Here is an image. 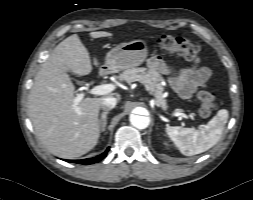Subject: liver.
Here are the masks:
<instances>
[{
	"mask_svg": "<svg viewBox=\"0 0 253 200\" xmlns=\"http://www.w3.org/2000/svg\"><path fill=\"white\" fill-rule=\"evenodd\" d=\"M105 31L91 32L92 38L107 37ZM99 67L98 59L94 58ZM85 76L92 71L89 53L77 34L60 42L41 65L28 96V116L43 146L52 154L72 159L92 150L100 136L99 111L104 98L86 97L77 111L75 86L67 72ZM117 100V92L109 94Z\"/></svg>",
	"mask_w": 253,
	"mask_h": 200,
	"instance_id": "obj_1",
	"label": "liver"
}]
</instances>
